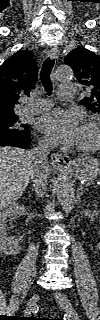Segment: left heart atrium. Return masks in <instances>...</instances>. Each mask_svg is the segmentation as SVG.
<instances>
[{
	"label": "left heart atrium",
	"instance_id": "39dd6f15",
	"mask_svg": "<svg viewBox=\"0 0 100 320\" xmlns=\"http://www.w3.org/2000/svg\"><path fill=\"white\" fill-rule=\"evenodd\" d=\"M37 127L53 143L74 145L79 142L82 121L76 112L56 109L42 115Z\"/></svg>",
	"mask_w": 100,
	"mask_h": 320
}]
</instances>
